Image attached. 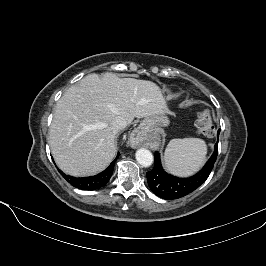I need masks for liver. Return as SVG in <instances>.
Listing matches in <instances>:
<instances>
[{
    "label": "liver",
    "mask_w": 266,
    "mask_h": 266,
    "mask_svg": "<svg viewBox=\"0 0 266 266\" xmlns=\"http://www.w3.org/2000/svg\"><path fill=\"white\" fill-rule=\"evenodd\" d=\"M170 113L160 88L153 82L119 78L113 73L89 74L68 88L56 104L49 145L58 167L72 176L96 174L116 154L112 121L130 124Z\"/></svg>",
    "instance_id": "6515ba94"
}]
</instances>
